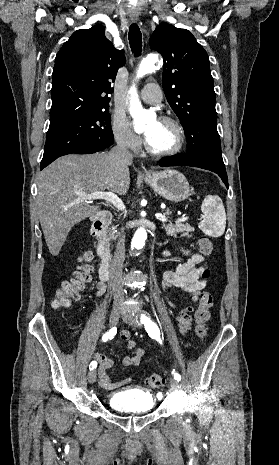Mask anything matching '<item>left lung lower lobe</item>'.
<instances>
[{"mask_svg":"<svg viewBox=\"0 0 279 465\" xmlns=\"http://www.w3.org/2000/svg\"><path fill=\"white\" fill-rule=\"evenodd\" d=\"M160 166H192L198 167L206 170L215 172L220 176L226 187L228 188V179L226 174V169L223 166H220L209 159L204 157L190 154V153H181L175 156L162 158L159 161Z\"/></svg>","mask_w":279,"mask_h":465,"instance_id":"0a47b994","label":"left lung lower lobe"}]
</instances>
